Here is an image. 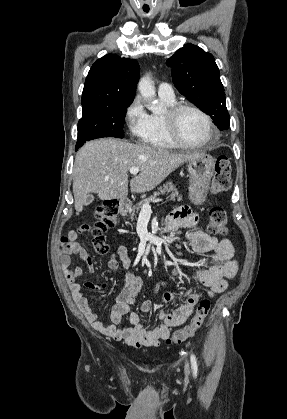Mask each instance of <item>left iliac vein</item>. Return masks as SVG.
I'll return each instance as SVG.
<instances>
[{
	"instance_id": "left-iliac-vein-1",
	"label": "left iliac vein",
	"mask_w": 287,
	"mask_h": 419,
	"mask_svg": "<svg viewBox=\"0 0 287 419\" xmlns=\"http://www.w3.org/2000/svg\"><path fill=\"white\" fill-rule=\"evenodd\" d=\"M185 372H186V374H189V364H188L187 361L185 363Z\"/></svg>"
}]
</instances>
